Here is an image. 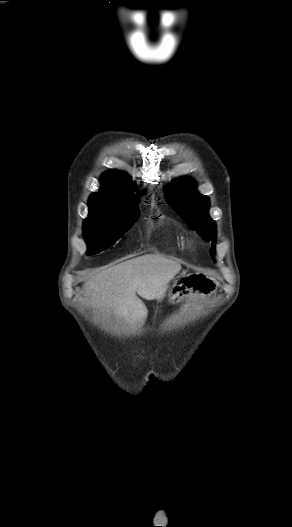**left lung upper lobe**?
I'll list each match as a JSON object with an SVG mask.
<instances>
[{"mask_svg":"<svg viewBox=\"0 0 292 527\" xmlns=\"http://www.w3.org/2000/svg\"><path fill=\"white\" fill-rule=\"evenodd\" d=\"M193 185L191 179L177 182L167 190L166 200L191 229L196 230L204 240H213L210 250L212 255L215 252L216 226L208 214V199L200 195Z\"/></svg>","mask_w":292,"mask_h":527,"instance_id":"obj_1","label":"left lung upper lobe"}]
</instances>
